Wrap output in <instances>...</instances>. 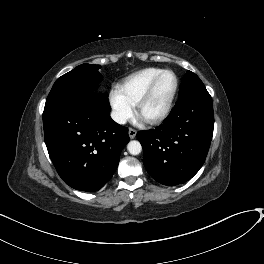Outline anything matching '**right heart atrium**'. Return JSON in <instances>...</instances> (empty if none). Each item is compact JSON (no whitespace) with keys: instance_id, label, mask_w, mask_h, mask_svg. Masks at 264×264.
Returning a JSON list of instances; mask_svg holds the SVG:
<instances>
[{"instance_id":"right-heart-atrium-1","label":"right heart atrium","mask_w":264,"mask_h":264,"mask_svg":"<svg viewBox=\"0 0 264 264\" xmlns=\"http://www.w3.org/2000/svg\"><path fill=\"white\" fill-rule=\"evenodd\" d=\"M110 104L113 118L119 124H124L134 113V105L120 92L114 89L110 93Z\"/></svg>"}]
</instances>
